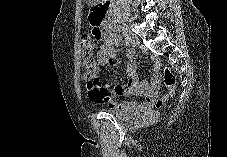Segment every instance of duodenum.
I'll return each mask as SVG.
<instances>
[{"label":"duodenum","mask_w":227,"mask_h":157,"mask_svg":"<svg viewBox=\"0 0 227 157\" xmlns=\"http://www.w3.org/2000/svg\"><path fill=\"white\" fill-rule=\"evenodd\" d=\"M112 7V0H99L97 4H92V9H97L98 16H89L90 25L94 27V32H110V25L107 15Z\"/></svg>","instance_id":"1"}]
</instances>
